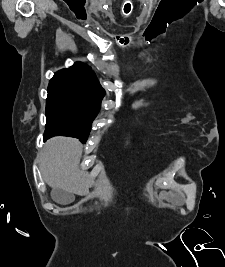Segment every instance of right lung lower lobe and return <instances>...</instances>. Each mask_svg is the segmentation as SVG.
Returning <instances> with one entry per match:
<instances>
[{"label":"right lung lower lobe","mask_w":225,"mask_h":267,"mask_svg":"<svg viewBox=\"0 0 225 267\" xmlns=\"http://www.w3.org/2000/svg\"><path fill=\"white\" fill-rule=\"evenodd\" d=\"M49 138H50L49 136H47V135L44 134V141H46Z\"/></svg>","instance_id":"obj_1"}]
</instances>
